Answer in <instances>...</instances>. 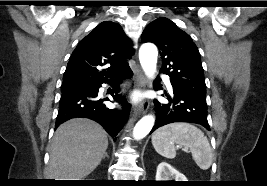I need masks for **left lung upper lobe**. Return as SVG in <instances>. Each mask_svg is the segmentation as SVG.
Here are the masks:
<instances>
[{
    "label": "left lung upper lobe",
    "instance_id": "left-lung-upper-lobe-1",
    "mask_svg": "<svg viewBox=\"0 0 267 186\" xmlns=\"http://www.w3.org/2000/svg\"><path fill=\"white\" fill-rule=\"evenodd\" d=\"M142 42H153L160 50V71L178 86L194 94L206 96V84L200 53L191 37L174 22L158 18L141 35Z\"/></svg>",
    "mask_w": 267,
    "mask_h": 186
}]
</instances>
